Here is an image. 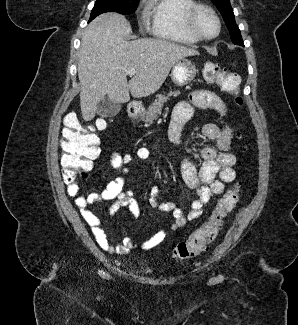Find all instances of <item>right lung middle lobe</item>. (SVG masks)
<instances>
[{"mask_svg": "<svg viewBox=\"0 0 298 325\" xmlns=\"http://www.w3.org/2000/svg\"><path fill=\"white\" fill-rule=\"evenodd\" d=\"M139 0H97L91 11L90 20L105 12H117L121 14L134 13Z\"/></svg>", "mask_w": 298, "mask_h": 325, "instance_id": "obj_1", "label": "right lung middle lobe"}]
</instances>
